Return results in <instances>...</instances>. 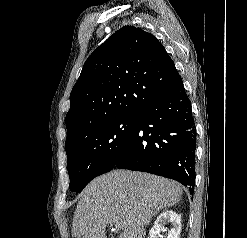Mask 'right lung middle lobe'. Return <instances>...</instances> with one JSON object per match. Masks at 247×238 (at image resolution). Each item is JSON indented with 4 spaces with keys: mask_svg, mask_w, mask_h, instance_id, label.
<instances>
[{
    "mask_svg": "<svg viewBox=\"0 0 247 238\" xmlns=\"http://www.w3.org/2000/svg\"><path fill=\"white\" fill-rule=\"evenodd\" d=\"M137 121L138 113L116 117L88 129L65 146L70 190L79 193L96 176L113 169Z\"/></svg>",
    "mask_w": 247,
    "mask_h": 238,
    "instance_id": "obj_1",
    "label": "right lung middle lobe"
}]
</instances>
